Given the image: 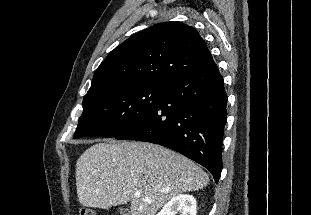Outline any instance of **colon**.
Instances as JSON below:
<instances>
[{
	"instance_id": "colon-1",
	"label": "colon",
	"mask_w": 311,
	"mask_h": 215,
	"mask_svg": "<svg viewBox=\"0 0 311 215\" xmlns=\"http://www.w3.org/2000/svg\"><path fill=\"white\" fill-rule=\"evenodd\" d=\"M79 215H96V213L89 208H83L80 210Z\"/></svg>"
}]
</instances>
